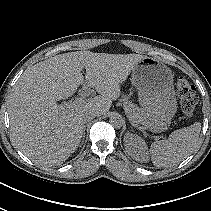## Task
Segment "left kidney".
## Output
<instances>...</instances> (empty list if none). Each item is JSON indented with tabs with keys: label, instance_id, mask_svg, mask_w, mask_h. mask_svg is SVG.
Segmentation results:
<instances>
[{
	"label": "left kidney",
	"instance_id": "left-kidney-1",
	"mask_svg": "<svg viewBox=\"0 0 211 211\" xmlns=\"http://www.w3.org/2000/svg\"><path fill=\"white\" fill-rule=\"evenodd\" d=\"M124 146L128 154L139 162L148 161V151L145 142L135 134L126 133Z\"/></svg>",
	"mask_w": 211,
	"mask_h": 211
}]
</instances>
